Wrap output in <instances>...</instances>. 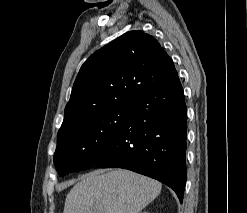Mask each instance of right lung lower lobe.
Masks as SVG:
<instances>
[{"mask_svg":"<svg viewBox=\"0 0 247 213\" xmlns=\"http://www.w3.org/2000/svg\"><path fill=\"white\" fill-rule=\"evenodd\" d=\"M129 100L130 116L107 142L95 165L126 168L157 179L182 202L187 176V108L178 73Z\"/></svg>","mask_w":247,"mask_h":213,"instance_id":"1","label":"right lung lower lobe"}]
</instances>
